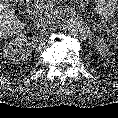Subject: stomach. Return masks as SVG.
I'll list each match as a JSON object with an SVG mask.
<instances>
[{
  "mask_svg": "<svg viewBox=\"0 0 118 118\" xmlns=\"http://www.w3.org/2000/svg\"><path fill=\"white\" fill-rule=\"evenodd\" d=\"M96 11L105 21L112 18L116 11L117 0H95Z\"/></svg>",
  "mask_w": 118,
  "mask_h": 118,
  "instance_id": "obj_1",
  "label": "stomach"
}]
</instances>
